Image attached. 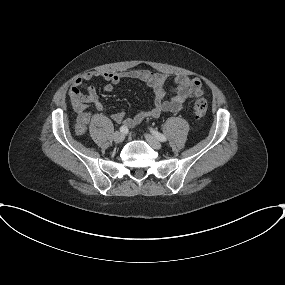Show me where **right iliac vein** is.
I'll return each instance as SVG.
<instances>
[{"instance_id":"right-iliac-vein-1","label":"right iliac vein","mask_w":285,"mask_h":285,"mask_svg":"<svg viewBox=\"0 0 285 285\" xmlns=\"http://www.w3.org/2000/svg\"><path fill=\"white\" fill-rule=\"evenodd\" d=\"M113 139L116 143H120L125 139V134L117 131L113 134Z\"/></svg>"}]
</instances>
